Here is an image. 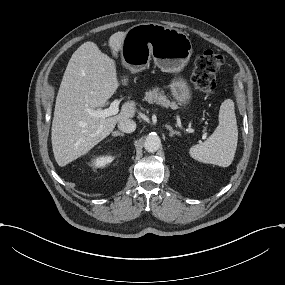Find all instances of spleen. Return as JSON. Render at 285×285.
<instances>
[{
  "label": "spleen",
  "instance_id": "obj_1",
  "mask_svg": "<svg viewBox=\"0 0 285 285\" xmlns=\"http://www.w3.org/2000/svg\"><path fill=\"white\" fill-rule=\"evenodd\" d=\"M238 142V128L234 102L226 99L220 106L219 125L202 144L189 150L190 156L203 163L228 167L233 162Z\"/></svg>",
  "mask_w": 285,
  "mask_h": 285
}]
</instances>
